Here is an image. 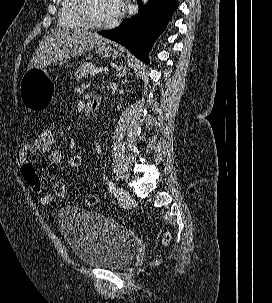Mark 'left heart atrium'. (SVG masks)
<instances>
[{
	"label": "left heart atrium",
	"instance_id": "left-heart-atrium-1",
	"mask_svg": "<svg viewBox=\"0 0 272 303\" xmlns=\"http://www.w3.org/2000/svg\"><path fill=\"white\" fill-rule=\"evenodd\" d=\"M107 4L112 20L119 18L123 14L125 8L124 0H107Z\"/></svg>",
	"mask_w": 272,
	"mask_h": 303
}]
</instances>
